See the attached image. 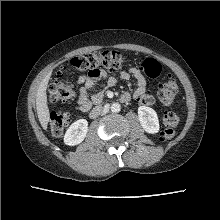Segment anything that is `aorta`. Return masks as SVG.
Returning a JSON list of instances; mask_svg holds the SVG:
<instances>
[{"mask_svg": "<svg viewBox=\"0 0 220 220\" xmlns=\"http://www.w3.org/2000/svg\"><path fill=\"white\" fill-rule=\"evenodd\" d=\"M120 110H121V106H120L119 103H113V104L111 105V111H112L113 113H118Z\"/></svg>", "mask_w": 220, "mask_h": 220, "instance_id": "1", "label": "aorta"}]
</instances>
